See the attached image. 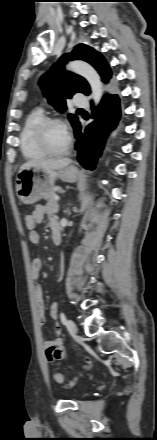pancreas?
<instances>
[{
    "instance_id": "1",
    "label": "pancreas",
    "mask_w": 157,
    "mask_h": 440,
    "mask_svg": "<svg viewBox=\"0 0 157 440\" xmlns=\"http://www.w3.org/2000/svg\"><path fill=\"white\" fill-rule=\"evenodd\" d=\"M56 191H61L60 188H53L48 195L45 196V199L49 201V203L55 202L54 197L56 196Z\"/></svg>"
}]
</instances>
